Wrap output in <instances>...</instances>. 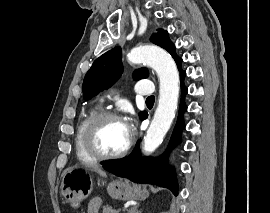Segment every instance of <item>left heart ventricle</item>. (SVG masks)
Returning <instances> with one entry per match:
<instances>
[{"instance_id": "obj_1", "label": "left heart ventricle", "mask_w": 270, "mask_h": 213, "mask_svg": "<svg viewBox=\"0 0 270 213\" xmlns=\"http://www.w3.org/2000/svg\"><path fill=\"white\" fill-rule=\"evenodd\" d=\"M129 134L122 120H108L102 124L96 136L98 149L105 154H113L125 148Z\"/></svg>"}]
</instances>
